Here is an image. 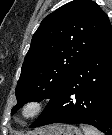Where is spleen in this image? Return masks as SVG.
I'll use <instances>...</instances> for the list:
<instances>
[{
  "label": "spleen",
  "mask_w": 112,
  "mask_h": 135,
  "mask_svg": "<svg viewBox=\"0 0 112 135\" xmlns=\"http://www.w3.org/2000/svg\"><path fill=\"white\" fill-rule=\"evenodd\" d=\"M84 135H102L97 129L90 126H83Z\"/></svg>",
  "instance_id": "1"
}]
</instances>
